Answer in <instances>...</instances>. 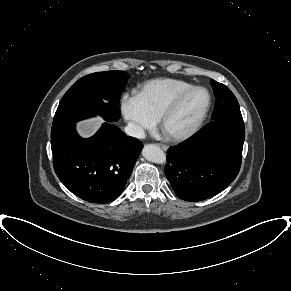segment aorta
<instances>
[{
    "mask_svg": "<svg viewBox=\"0 0 291 291\" xmlns=\"http://www.w3.org/2000/svg\"><path fill=\"white\" fill-rule=\"evenodd\" d=\"M142 155L146 160L157 164H164L166 162V154L154 144L145 145Z\"/></svg>",
    "mask_w": 291,
    "mask_h": 291,
    "instance_id": "1",
    "label": "aorta"
}]
</instances>
